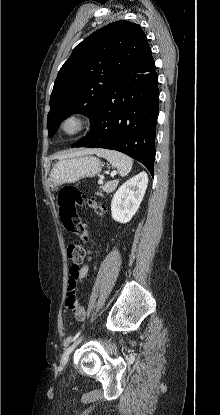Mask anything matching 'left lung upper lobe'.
Instances as JSON below:
<instances>
[{
    "label": "left lung upper lobe",
    "instance_id": "1",
    "mask_svg": "<svg viewBox=\"0 0 220 415\" xmlns=\"http://www.w3.org/2000/svg\"><path fill=\"white\" fill-rule=\"evenodd\" d=\"M152 58L145 33L129 21L110 23L84 39L55 80L47 116L49 137L73 113L85 114L91 121L113 83Z\"/></svg>",
    "mask_w": 220,
    "mask_h": 415
}]
</instances>
